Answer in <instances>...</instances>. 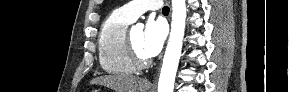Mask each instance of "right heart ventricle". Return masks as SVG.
Instances as JSON below:
<instances>
[{
	"mask_svg": "<svg viewBox=\"0 0 289 92\" xmlns=\"http://www.w3.org/2000/svg\"><path fill=\"white\" fill-rule=\"evenodd\" d=\"M133 21L119 10L110 13L103 21L98 35V55L101 68L116 75L135 72L125 50L127 27Z\"/></svg>",
	"mask_w": 289,
	"mask_h": 92,
	"instance_id": "obj_1",
	"label": "right heart ventricle"
}]
</instances>
